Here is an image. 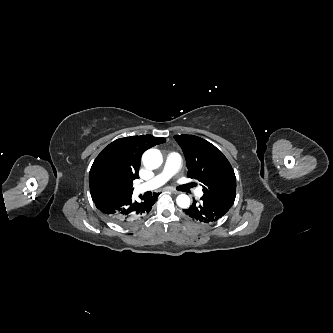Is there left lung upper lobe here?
Here are the masks:
<instances>
[{
  "mask_svg": "<svg viewBox=\"0 0 333 333\" xmlns=\"http://www.w3.org/2000/svg\"><path fill=\"white\" fill-rule=\"evenodd\" d=\"M186 158L187 176L202 183L204 195L234 203L236 177L223 153L193 135H175Z\"/></svg>",
  "mask_w": 333,
  "mask_h": 333,
  "instance_id": "obj_1",
  "label": "left lung upper lobe"
}]
</instances>
